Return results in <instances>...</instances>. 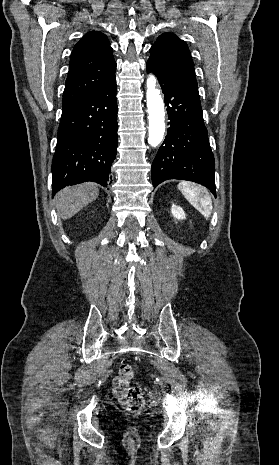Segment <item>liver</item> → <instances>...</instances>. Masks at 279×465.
<instances>
[{"label":"liver","instance_id":"6515ba94","mask_svg":"<svg viewBox=\"0 0 279 465\" xmlns=\"http://www.w3.org/2000/svg\"><path fill=\"white\" fill-rule=\"evenodd\" d=\"M98 196L99 190L95 183L66 187L59 191L55 197L58 215L63 220H67L96 200Z\"/></svg>","mask_w":279,"mask_h":465}]
</instances>
